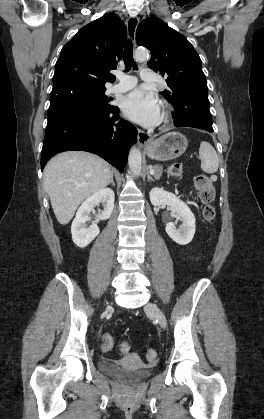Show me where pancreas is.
<instances>
[{
    "label": "pancreas",
    "mask_w": 264,
    "mask_h": 419,
    "mask_svg": "<svg viewBox=\"0 0 264 419\" xmlns=\"http://www.w3.org/2000/svg\"><path fill=\"white\" fill-rule=\"evenodd\" d=\"M153 170H154V177L156 179H159L161 177L162 171H163L162 166L161 165H156V166L153 167Z\"/></svg>",
    "instance_id": "cf45deb5"
}]
</instances>
